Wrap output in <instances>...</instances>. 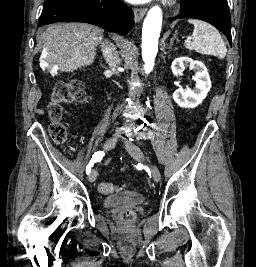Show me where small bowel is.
I'll use <instances>...</instances> for the list:
<instances>
[{"label":"small bowel","mask_w":256,"mask_h":267,"mask_svg":"<svg viewBox=\"0 0 256 267\" xmlns=\"http://www.w3.org/2000/svg\"><path fill=\"white\" fill-rule=\"evenodd\" d=\"M108 163H109V160H105V161H104V165H105V166L108 165Z\"/></svg>","instance_id":"obj_1"}]
</instances>
